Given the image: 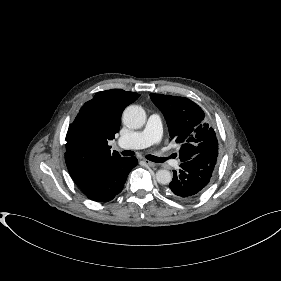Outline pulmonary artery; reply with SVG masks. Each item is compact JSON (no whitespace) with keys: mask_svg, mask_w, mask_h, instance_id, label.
I'll return each instance as SVG.
<instances>
[{"mask_svg":"<svg viewBox=\"0 0 281 281\" xmlns=\"http://www.w3.org/2000/svg\"><path fill=\"white\" fill-rule=\"evenodd\" d=\"M162 137V121L158 113H152L141 131L131 132L118 139L120 147L140 149L158 142Z\"/></svg>","mask_w":281,"mask_h":281,"instance_id":"1","label":"pulmonary artery"}]
</instances>
